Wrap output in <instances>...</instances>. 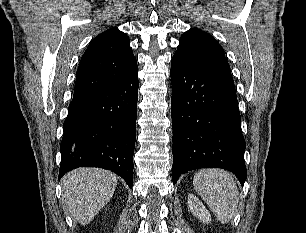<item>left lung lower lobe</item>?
<instances>
[{
    "instance_id": "left-lung-lower-lobe-1",
    "label": "left lung lower lobe",
    "mask_w": 306,
    "mask_h": 233,
    "mask_svg": "<svg viewBox=\"0 0 306 233\" xmlns=\"http://www.w3.org/2000/svg\"><path fill=\"white\" fill-rule=\"evenodd\" d=\"M172 179L200 167H218L246 180L245 140L234 81L226 72L195 66L174 54Z\"/></svg>"
}]
</instances>
